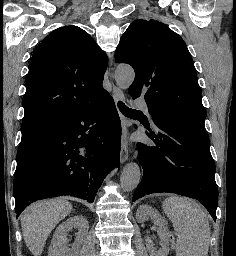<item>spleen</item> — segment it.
Masks as SVG:
<instances>
[{
    "mask_svg": "<svg viewBox=\"0 0 236 256\" xmlns=\"http://www.w3.org/2000/svg\"><path fill=\"white\" fill-rule=\"evenodd\" d=\"M163 210L176 232V256H208L210 228L207 216L188 198L170 196L163 202Z\"/></svg>",
    "mask_w": 236,
    "mask_h": 256,
    "instance_id": "3e777b00",
    "label": "spleen"
}]
</instances>
